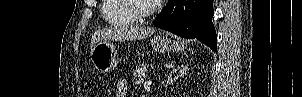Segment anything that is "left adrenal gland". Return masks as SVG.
Masks as SVG:
<instances>
[{"mask_svg":"<svg viewBox=\"0 0 302 97\" xmlns=\"http://www.w3.org/2000/svg\"><path fill=\"white\" fill-rule=\"evenodd\" d=\"M187 71H188L187 66L174 68L172 73H170V75L167 78L166 86L173 84V82L176 81L178 79V77L183 76ZM174 74H176V75L173 77Z\"/></svg>","mask_w":302,"mask_h":97,"instance_id":"1","label":"left adrenal gland"}]
</instances>
